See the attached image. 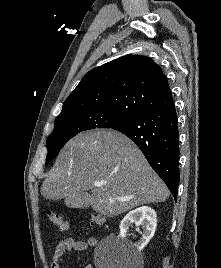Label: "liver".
<instances>
[{
	"label": "liver",
	"mask_w": 221,
	"mask_h": 268,
	"mask_svg": "<svg viewBox=\"0 0 221 268\" xmlns=\"http://www.w3.org/2000/svg\"><path fill=\"white\" fill-rule=\"evenodd\" d=\"M88 190L92 195L85 198ZM41 194L49 200L64 199L68 207L87 201L94 211L114 217L139 205L163 202L169 190L129 138L114 130H93L64 146Z\"/></svg>",
	"instance_id": "6515ba94"
}]
</instances>
